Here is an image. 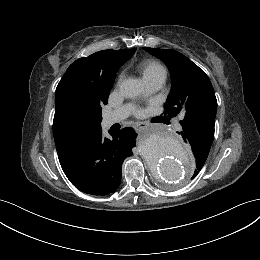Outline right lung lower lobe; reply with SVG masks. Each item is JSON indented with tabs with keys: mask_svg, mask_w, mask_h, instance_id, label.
Instances as JSON below:
<instances>
[{
	"mask_svg": "<svg viewBox=\"0 0 260 260\" xmlns=\"http://www.w3.org/2000/svg\"><path fill=\"white\" fill-rule=\"evenodd\" d=\"M102 137L101 127L74 134L56 144L60 165L69 181L80 191L105 196L121 181L124 159L132 155L136 132L131 127L109 132Z\"/></svg>",
	"mask_w": 260,
	"mask_h": 260,
	"instance_id": "98d812e1",
	"label": "right lung lower lobe"
}]
</instances>
